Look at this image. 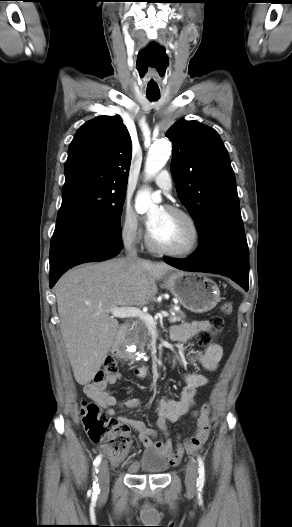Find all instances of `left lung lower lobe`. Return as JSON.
I'll return each mask as SVG.
<instances>
[{"mask_svg":"<svg viewBox=\"0 0 292 527\" xmlns=\"http://www.w3.org/2000/svg\"><path fill=\"white\" fill-rule=\"evenodd\" d=\"M165 261L182 270L217 273L231 278L246 291L249 278V253L245 236H226L200 245L187 259Z\"/></svg>","mask_w":292,"mask_h":527,"instance_id":"left-lung-lower-lobe-1","label":"left lung lower lobe"}]
</instances>
